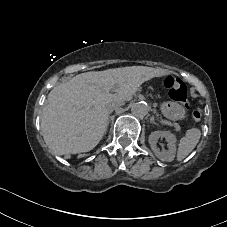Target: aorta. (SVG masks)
I'll return each instance as SVG.
<instances>
[{
    "mask_svg": "<svg viewBox=\"0 0 227 227\" xmlns=\"http://www.w3.org/2000/svg\"><path fill=\"white\" fill-rule=\"evenodd\" d=\"M131 112L134 116L142 118L145 117L149 112L147 103L141 101L133 103L131 106Z\"/></svg>",
    "mask_w": 227,
    "mask_h": 227,
    "instance_id": "1",
    "label": "aorta"
}]
</instances>
